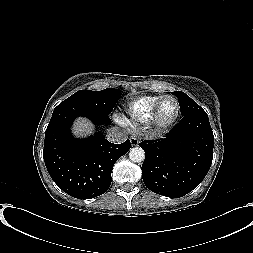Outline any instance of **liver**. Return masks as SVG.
<instances>
[{"instance_id": "liver-1", "label": "liver", "mask_w": 253, "mask_h": 253, "mask_svg": "<svg viewBox=\"0 0 253 253\" xmlns=\"http://www.w3.org/2000/svg\"><path fill=\"white\" fill-rule=\"evenodd\" d=\"M94 132V125L85 118H78L73 125V133L78 137H85Z\"/></svg>"}]
</instances>
